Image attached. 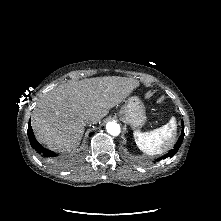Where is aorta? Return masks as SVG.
<instances>
[{"label":"aorta","mask_w":221,"mask_h":221,"mask_svg":"<svg viewBox=\"0 0 221 221\" xmlns=\"http://www.w3.org/2000/svg\"><path fill=\"white\" fill-rule=\"evenodd\" d=\"M106 130L110 135L117 136L121 132L120 125L117 122H108L106 124Z\"/></svg>","instance_id":"aorta-1"}]
</instances>
